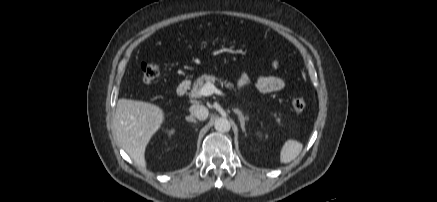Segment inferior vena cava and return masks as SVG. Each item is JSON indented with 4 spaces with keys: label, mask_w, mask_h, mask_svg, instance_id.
Segmentation results:
<instances>
[{
    "label": "inferior vena cava",
    "mask_w": 437,
    "mask_h": 202,
    "mask_svg": "<svg viewBox=\"0 0 437 202\" xmlns=\"http://www.w3.org/2000/svg\"><path fill=\"white\" fill-rule=\"evenodd\" d=\"M190 113L192 116L196 117L199 120H206L208 117V109L200 104H193L190 109Z\"/></svg>",
    "instance_id": "obj_1"
}]
</instances>
